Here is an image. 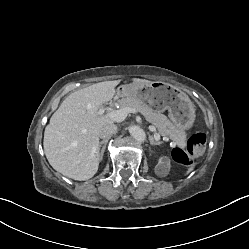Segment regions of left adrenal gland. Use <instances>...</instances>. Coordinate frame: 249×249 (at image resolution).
I'll return each mask as SVG.
<instances>
[{
  "mask_svg": "<svg viewBox=\"0 0 249 249\" xmlns=\"http://www.w3.org/2000/svg\"><path fill=\"white\" fill-rule=\"evenodd\" d=\"M149 140H150L151 145H160V144H162L161 141H156L152 136L149 137Z\"/></svg>",
  "mask_w": 249,
  "mask_h": 249,
  "instance_id": "obj_1",
  "label": "left adrenal gland"
}]
</instances>
